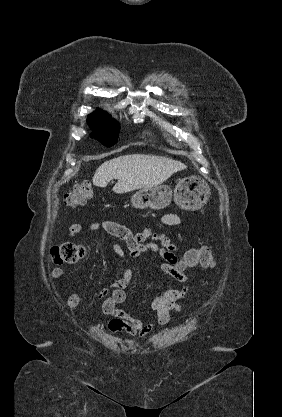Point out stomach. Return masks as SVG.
I'll return each instance as SVG.
<instances>
[{
  "mask_svg": "<svg viewBox=\"0 0 282 417\" xmlns=\"http://www.w3.org/2000/svg\"><path fill=\"white\" fill-rule=\"evenodd\" d=\"M193 186V188H192ZM209 184L204 178L186 176L177 182L173 192L168 184H158L151 188H141L131 196L135 209H165L172 200L184 211H199L210 198Z\"/></svg>",
  "mask_w": 282,
  "mask_h": 417,
  "instance_id": "obj_1",
  "label": "stomach"
}]
</instances>
